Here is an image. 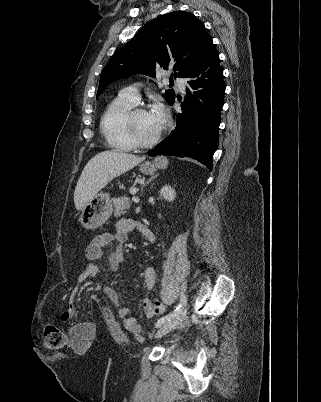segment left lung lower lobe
Segmentation results:
<instances>
[{
  "label": "left lung lower lobe",
  "instance_id": "obj_1",
  "mask_svg": "<svg viewBox=\"0 0 321 402\" xmlns=\"http://www.w3.org/2000/svg\"><path fill=\"white\" fill-rule=\"evenodd\" d=\"M182 78L188 80V96L181 104V113L177 114L176 128L148 155L191 157L211 170L213 154L219 144L225 92L223 69L211 38Z\"/></svg>",
  "mask_w": 321,
  "mask_h": 402
}]
</instances>
